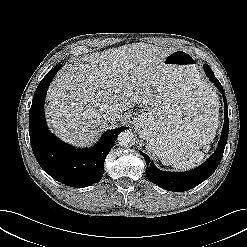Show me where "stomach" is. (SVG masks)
I'll return each mask as SVG.
<instances>
[{"label": "stomach", "instance_id": "obj_1", "mask_svg": "<svg viewBox=\"0 0 247 247\" xmlns=\"http://www.w3.org/2000/svg\"><path fill=\"white\" fill-rule=\"evenodd\" d=\"M166 82L151 107L137 115L136 129L163 164L187 159L216 130L218 97L198 70L195 57L175 50L163 61Z\"/></svg>", "mask_w": 247, "mask_h": 247}]
</instances>
